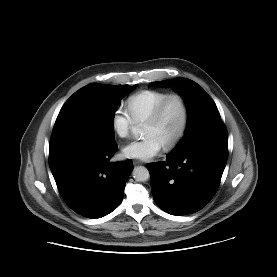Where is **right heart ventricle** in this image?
<instances>
[{
	"label": "right heart ventricle",
	"instance_id": "right-heart-ventricle-1",
	"mask_svg": "<svg viewBox=\"0 0 277 277\" xmlns=\"http://www.w3.org/2000/svg\"><path fill=\"white\" fill-rule=\"evenodd\" d=\"M168 94L159 90H143L135 93L127 100L128 113L134 122H145Z\"/></svg>",
	"mask_w": 277,
	"mask_h": 277
}]
</instances>
